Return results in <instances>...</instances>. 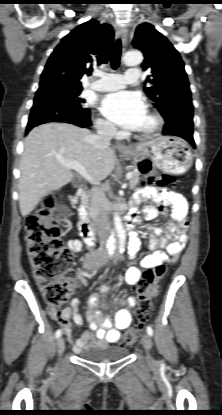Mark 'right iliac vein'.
<instances>
[{"mask_svg":"<svg viewBox=\"0 0 222 415\" xmlns=\"http://www.w3.org/2000/svg\"><path fill=\"white\" fill-rule=\"evenodd\" d=\"M57 347H58V354L59 356L62 355L64 349H65V341L63 337H59L57 340Z\"/></svg>","mask_w":222,"mask_h":415,"instance_id":"1","label":"right iliac vein"}]
</instances>
